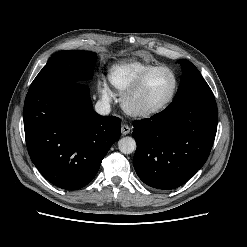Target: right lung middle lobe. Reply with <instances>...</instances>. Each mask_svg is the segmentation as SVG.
Here are the masks:
<instances>
[{"instance_id":"1","label":"right lung middle lobe","mask_w":247,"mask_h":247,"mask_svg":"<svg viewBox=\"0 0 247 247\" xmlns=\"http://www.w3.org/2000/svg\"><path fill=\"white\" fill-rule=\"evenodd\" d=\"M95 61L94 52L83 50L57 52L36 76L29 90L52 84L80 83L82 80L90 79L93 76Z\"/></svg>"}]
</instances>
